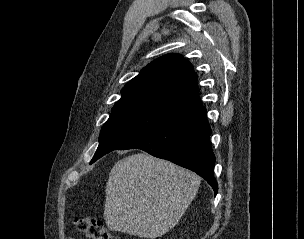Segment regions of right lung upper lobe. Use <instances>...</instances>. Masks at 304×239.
<instances>
[{
	"label": "right lung upper lobe",
	"mask_w": 304,
	"mask_h": 239,
	"mask_svg": "<svg viewBox=\"0 0 304 239\" xmlns=\"http://www.w3.org/2000/svg\"><path fill=\"white\" fill-rule=\"evenodd\" d=\"M193 66L179 54L149 63L121 90L112 112L145 111L173 120L202 107Z\"/></svg>",
	"instance_id": "1"
}]
</instances>
